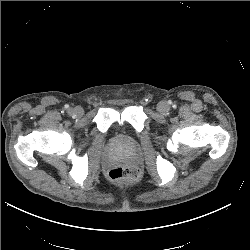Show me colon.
Masks as SVG:
<instances>
[{
  "label": "colon",
  "mask_w": 250,
  "mask_h": 250,
  "mask_svg": "<svg viewBox=\"0 0 250 250\" xmlns=\"http://www.w3.org/2000/svg\"><path fill=\"white\" fill-rule=\"evenodd\" d=\"M109 177L115 182H125L137 179L138 173L128 167L116 166L109 171Z\"/></svg>",
  "instance_id": "obj_1"
}]
</instances>
